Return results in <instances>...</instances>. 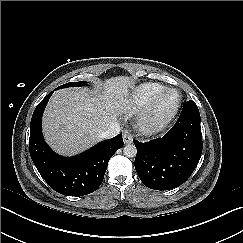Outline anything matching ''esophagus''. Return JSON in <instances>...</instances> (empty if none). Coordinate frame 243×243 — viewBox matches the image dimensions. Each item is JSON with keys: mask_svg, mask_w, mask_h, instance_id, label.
Returning <instances> with one entry per match:
<instances>
[{"mask_svg": "<svg viewBox=\"0 0 243 243\" xmlns=\"http://www.w3.org/2000/svg\"><path fill=\"white\" fill-rule=\"evenodd\" d=\"M123 142H124V144H130V143H132L133 142V136H132V134L129 133V132H127V131H125L123 133Z\"/></svg>", "mask_w": 243, "mask_h": 243, "instance_id": "obj_1", "label": "esophagus"}]
</instances>
